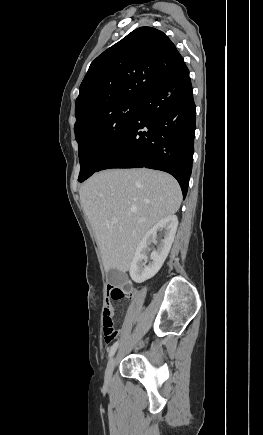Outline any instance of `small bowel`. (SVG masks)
Returning a JSON list of instances; mask_svg holds the SVG:
<instances>
[{
	"label": "small bowel",
	"instance_id": "c3829d8e",
	"mask_svg": "<svg viewBox=\"0 0 263 435\" xmlns=\"http://www.w3.org/2000/svg\"><path fill=\"white\" fill-rule=\"evenodd\" d=\"M103 312H104V313H105V312H111L112 315H113V306H112V303H111V299H110V298L106 300V303H105V306H104V310H103Z\"/></svg>",
	"mask_w": 263,
	"mask_h": 435
}]
</instances>
